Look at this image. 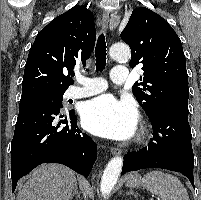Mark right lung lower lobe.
<instances>
[{"label": "right lung lower lobe", "instance_id": "98d812e1", "mask_svg": "<svg viewBox=\"0 0 201 200\" xmlns=\"http://www.w3.org/2000/svg\"><path fill=\"white\" fill-rule=\"evenodd\" d=\"M36 105L19 109L11 143L13 191L18 180L42 163H60L88 177L96 160V144L77 126L73 111ZM65 125V126H64Z\"/></svg>", "mask_w": 201, "mask_h": 200}]
</instances>
